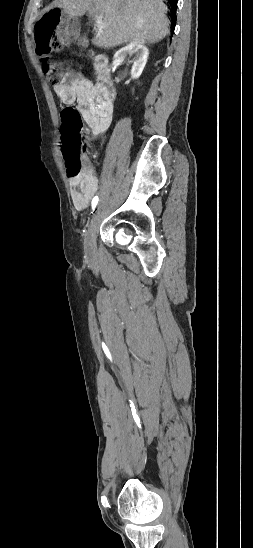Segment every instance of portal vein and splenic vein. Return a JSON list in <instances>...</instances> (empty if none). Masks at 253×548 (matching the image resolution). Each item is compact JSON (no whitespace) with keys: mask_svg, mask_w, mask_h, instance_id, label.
Segmentation results:
<instances>
[{"mask_svg":"<svg viewBox=\"0 0 253 548\" xmlns=\"http://www.w3.org/2000/svg\"><path fill=\"white\" fill-rule=\"evenodd\" d=\"M95 27L97 28V32H101L102 28L104 27L102 16H96L95 17Z\"/></svg>","mask_w":253,"mask_h":548,"instance_id":"portal-vein-and-splenic-vein-1","label":"portal vein and splenic vein"}]
</instances>
